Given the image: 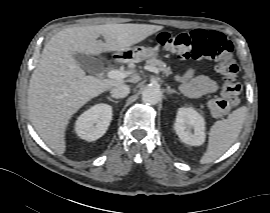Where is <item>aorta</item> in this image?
Masks as SVG:
<instances>
[{"label":"aorta","instance_id":"1","mask_svg":"<svg viewBox=\"0 0 270 213\" xmlns=\"http://www.w3.org/2000/svg\"><path fill=\"white\" fill-rule=\"evenodd\" d=\"M161 99V90L157 85L146 87L142 92V100L146 104L155 105Z\"/></svg>","mask_w":270,"mask_h":213}]
</instances>
